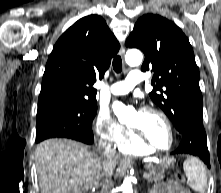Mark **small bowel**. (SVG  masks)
<instances>
[{
  "instance_id": "c3829d8e",
  "label": "small bowel",
  "mask_w": 221,
  "mask_h": 193,
  "mask_svg": "<svg viewBox=\"0 0 221 193\" xmlns=\"http://www.w3.org/2000/svg\"><path fill=\"white\" fill-rule=\"evenodd\" d=\"M151 193H190L187 189L183 188L177 183L170 182L155 187Z\"/></svg>"
}]
</instances>
